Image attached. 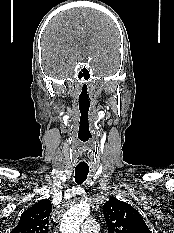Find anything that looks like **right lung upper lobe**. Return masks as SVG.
<instances>
[{
    "instance_id": "obj_1",
    "label": "right lung upper lobe",
    "mask_w": 174,
    "mask_h": 233,
    "mask_svg": "<svg viewBox=\"0 0 174 233\" xmlns=\"http://www.w3.org/2000/svg\"><path fill=\"white\" fill-rule=\"evenodd\" d=\"M51 208L49 199L40 200L24 211L11 233H48Z\"/></svg>"
}]
</instances>
